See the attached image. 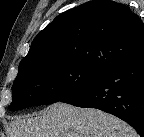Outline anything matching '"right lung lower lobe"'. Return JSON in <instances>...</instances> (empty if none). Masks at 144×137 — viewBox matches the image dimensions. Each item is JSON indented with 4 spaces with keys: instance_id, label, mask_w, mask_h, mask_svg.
Returning <instances> with one entry per match:
<instances>
[{
    "instance_id": "1",
    "label": "right lung lower lobe",
    "mask_w": 144,
    "mask_h": 137,
    "mask_svg": "<svg viewBox=\"0 0 144 137\" xmlns=\"http://www.w3.org/2000/svg\"><path fill=\"white\" fill-rule=\"evenodd\" d=\"M61 102L113 114L144 137V52L113 67Z\"/></svg>"
}]
</instances>
